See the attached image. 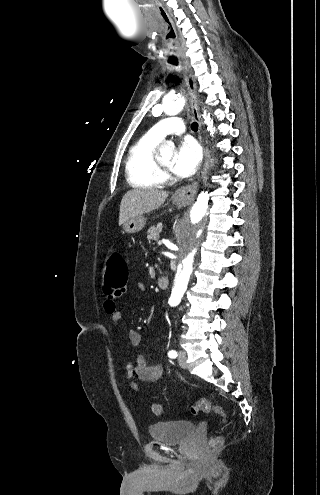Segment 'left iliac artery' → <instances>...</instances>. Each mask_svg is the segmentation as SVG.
Masks as SVG:
<instances>
[{
  "label": "left iliac artery",
  "mask_w": 320,
  "mask_h": 495,
  "mask_svg": "<svg viewBox=\"0 0 320 495\" xmlns=\"http://www.w3.org/2000/svg\"><path fill=\"white\" fill-rule=\"evenodd\" d=\"M168 356H169L170 358H172V359H173V358H176V357H177V352H176L175 350H170V351L168 352Z\"/></svg>",
  "instance_id": "obj_1"
}]
</instances>
